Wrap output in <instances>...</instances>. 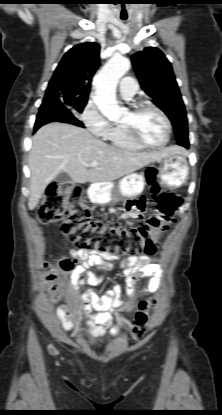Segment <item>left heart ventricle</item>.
Listing matches in <instances>:
<instances>
[{
	"label": "left heart ventricle",
	"mask_w": 222,
	"mask_h": 415,
	"mask_svg": "<svg viewBox=\"0 0 222 415\" xmlns=\"http://www.w3.org/2000/svg\"><path fill=\"white\" fill-rule=\"evenodd\" d=\"M133 122L138 133L146 142L160 144L166 137V125L162 117L153 109L147 108L137 116H133L129 111L123 123Z\"/></svg>",
	"instance_id": "b2bd125f"
}]
</instances>
